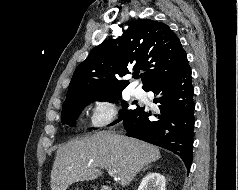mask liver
<instances>
[{"instance_id":"obj_1","label":"liver","mask_w":238,"mask_h":190,"mask_svg":"<svg viewBox=\"0 0 238 190\" xmlns=\"http://www.w3.org/2000/svg\"><path fill=\"white\" fill-rule=\"evenodd\" d=\"M160 157L158 147L111 132L74 139L56 152L51 189L66 190L75 182L94 180L104 169L115 171L120 184L126 186L144 166Z\"/></svg>"}]
</instances>
